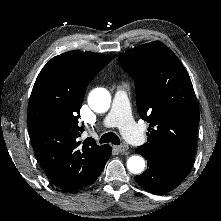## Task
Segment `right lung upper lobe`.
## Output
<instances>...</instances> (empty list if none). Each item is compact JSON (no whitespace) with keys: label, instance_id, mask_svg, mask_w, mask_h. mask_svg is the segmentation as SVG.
<instances>
[{"label":"right lung upper lobe","instance_id":"cb5924a9","mask_svg":"<svg viewBox=\"0 0 221 221\" xmlns=\"http://www.w3.org/2000/svg\"><path fill=\"white\" fill-rule=\"evenodd\" d=\"M110 57L69 51L52 58L39 73L27 112L34 152L47 176L66 191L79 190L96 181L109 159L111 147L78 137L80 108L88 83Z\"/></svg>","mask_w":221,"mask_h":221}]
</instances>
